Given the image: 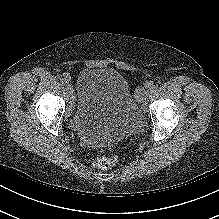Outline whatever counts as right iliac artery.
<instances>
[{
	"instance_id": "82829eb1",
	"label": "right iliac artery",
	"mask_w": 219,
	"mask_h": 219,
	"mask_svg": "<svg viewBox=\"0 0 219 219\" xmlns=\"http://www.w3.org/2000/svg\"><path fill=\"white\" fill-rule=\"evenodd\" d=\"M70 80V76L68 74H65L64 77L61 79V83L64 85H68Z\"/></svg>"
}]
</instances>
